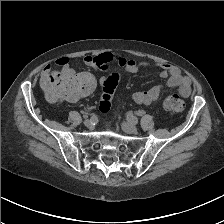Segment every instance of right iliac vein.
I'll use <instances>...</instances> for the list:
<instances>
[{"label":"right iliac vein","instance_id":"right-iliac-vein-1","mask_svg":"<svg viewBox=\"0 0 224 224\" xmlns=\"http://www.w3.org/2000/svg\"><path fill=\"white\" fill-rule=\"evenodd\" d=\"M85 126L88 128H92L93 127V122L91 120H85L84 122Z\"/></svg>","mask_w":224,"mask_h":224}]
</instances>
